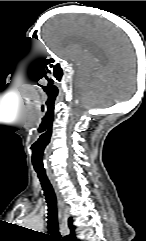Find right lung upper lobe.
<instances>
[{"label":"right lung upper lobe","instance_id":"1","mask_svg":"<svg viewBox=\"0 0 146 241\" xmlns=\"http://www.w3.org/2000/svg\"><path fill=\"white\" fill-rule=\"evenodd\" d=\"M68 224H69V228L71 230V234L70 235H67L63 238V241H78L74 235V229H75V226L72 225V219L69 218V221H68Z\"/></svg>","mask_w":146,"mask_h":241}]
</instances>
